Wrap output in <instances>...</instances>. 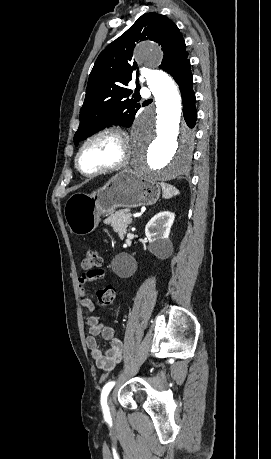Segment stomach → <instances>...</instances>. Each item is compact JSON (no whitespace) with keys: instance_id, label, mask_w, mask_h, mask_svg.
I'll return each mask as SVG.
<instances>
[{"instance_id":"1","label":"stomach","mask_w":271,"mask_h":459,"mask_svg":"<svg viewBox=\"0 0 271 459\" xmlns=\"http://www.w3.org/2000/svg\"><path fill=\"white\" fill-rule=\"evenodd\" d=\"M159 196L160 186L156 180L133 170H121L92 194H73L66 202L64 216L72 233L86 235L97 228L100 216H108L116 208L152 206Z\"/></svg>"}]
</instances>
